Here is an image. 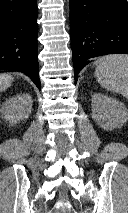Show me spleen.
Segmentation results:
<instances>
[{
	"label": "spleen",
	"mask_w": 128,
	"mask_h": 213,
	"mask_svg": "<svg viewBox=\"0 0 128 213\" xmlns=\"http://www.w3.org/2000/svg\"><path fill=\"white\" fill-rule=\"evenodd\" d=\"M95 76L106 90L128 99V55H107L97 60Z\"/></svg>",
	"instance_id": "obj_1"
}]
</instances>
